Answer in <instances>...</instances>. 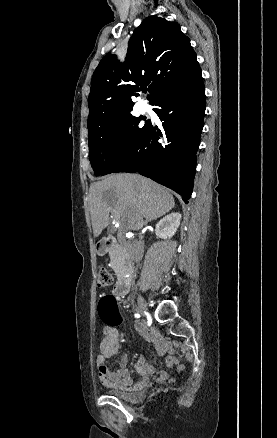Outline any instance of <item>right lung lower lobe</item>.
Returning a JSON list of instances; mask_svg holds the SVG:
<instances>
[{
    "mask_svg": "<svg viewBox=\"0 0 277 438\" xmlns=\"http://www.w3.org/2000/svg\"><path fill=\"white\" fill-rule=\"evenodd\" d=\"M165 67L174 71L178 65L171 62ZM151 105L157 106L153 110L162 127L149 120L135 148L113 173L138 172L176 191L188 203L206 107L201 70L161 91Z\"/></svg>",
    "mask_w": 277,
    "mask_h": 438,
    "instance_id": "1",
    "label": "right lung lower lobe"
}]
</instances>
